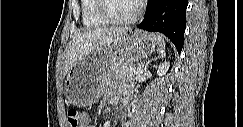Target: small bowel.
I'll list each match as a JSON object with an SVG mask.
<instances>
[{
    "label": "small bowel",
    "mask_w": 243,
    "mask_h": 127,
    "mask_svg": "<svg viewBox=\"0 0 243 127\" xmlns=\"http://www.w3.org/2000/svg\"><path fill=\"white\" fill-rule=\"evenodd\" d=\"M115 91L116 90H112L109 94H108V101L109 102H114V98H115ZM85 123L84 126H90L93 127V125H90V118L88 116L85 117Z\"/></svg>",
    "instance_id": "c3829d8e"
}]
</instances>
